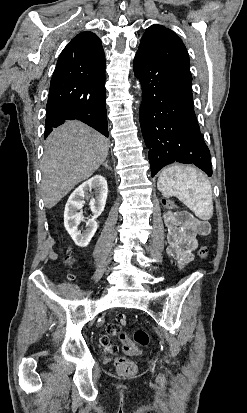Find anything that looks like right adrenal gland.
Wrapping results in <instances>:
<instances>
[{"label":"right adrenal gland","mask_w":247,"mask_h":413,"mask_svg":"<svg viewBox=\"0 0 247 413\" xmlns=\"http://www.w3.org/2000/svg\"><path fill=\"white\" fill-rule=\"evenodd\" d=\"M107 162L108 160H106V162H103V166H105V168H111V166H108Z\"/></svg>","instance_id":"obj_1"}]
</instances>
